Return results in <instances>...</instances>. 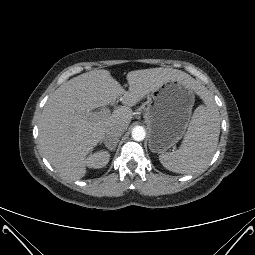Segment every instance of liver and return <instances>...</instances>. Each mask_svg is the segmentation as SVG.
Instances as JSON below:
<instances>
[{
	"label": "liver",
	"mask_w": 255,
	"mask_h": 255,
	"mask_svg": "<svg viewBox=\"0 0 255 255\" xmlns=\"http://www.w3.org/2000/svg\"><path fill=\"white\" fill-rule=\"evenodd\" d=\"M126 79L128 92H124L109 71L93 70L63 83L48 99L39 122L40 145L51 165L65 177L83 178L87 155L104 139L106 129L113 124L127 128L132 119L130 107L163 83L179 79L204 94L195 79L172 68L135 70ZM121 96L124 106L112 114L90 112Z\"/></svg>",
	"instance_id": "obj_1"
}]
</instances>
